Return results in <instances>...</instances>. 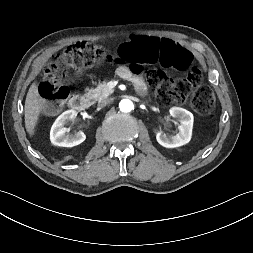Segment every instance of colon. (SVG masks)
Segmentation results:
<instances>
[{
    "label": "colon",
    "mask_w": 253,
    "mask_h": 253,
    "mask_svg": "<svg viewBox=\"0 0 253 253\" xmlns=\"http://www.w3.org/2000/svg\"><path fill=\"white\" fill-rule=\"evenodd\" d=\"M191 52L176 41L157 35L136 37L122 44L116 52L97 44L77 42L56 54L42 74L39 94L46 101L47 112L56 111L68 98L69 88L64 82L66 71L72 67H94L105 63L128 62L134 74L142 66H157L182 71L180 76L168 77L163 71L150 70L146 79L158 99L165 105L189 98L191 106L203 115H210L215 106L212 91L202 85L203 75L192 66ZM140 64V65H139Z\"/></svg>",
    "instance_id": "1"
}]
</instances>
